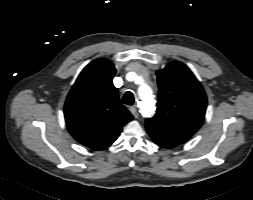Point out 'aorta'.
<instances>
[{
  "label": "aorta",
  "instance_id": "1",
  "mask_svg": "<svg viewBox=\"0 0 253 200\" xmlns=\"http://www.w3.org/2000/svg\"><path fill=\"white\" fill-rule=\"evenodd\" d=\"M138 94L141 99L139 107L142 115L146 118H150L155 113V98L152 93V89L145 84L144 82L141 83Z\"/></svg>",
  "mask_w": 253,
  "mask_h": 200
}]
</instances>
